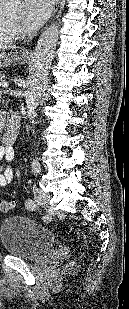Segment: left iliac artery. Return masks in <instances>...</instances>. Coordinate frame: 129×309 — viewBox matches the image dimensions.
Instances as JSON below:
<instances>
[{"instance_id":"44dca946","label":"left iliac artery","mask_w":129,"mask_h":309,"mask_svg":"<svg viewBox=\"0 0 129 309\" xmlns=\"http://www.w3.org/2000/svg\"><path fill=\"white\" fill-rule=\"evenodd\" d=\"M32 169H33L34 173H39L40 170H41V166H40V164L38 162L34 161L32 163ZM34 187H35V185L33 186V191H34ZM26 207H27L28 210L33 211L36 208V204L32 200H28L26 202ZM43 220L44 221H50V218H49L48 215H45V216H43Z\"/></svg>"}]
</instances>
